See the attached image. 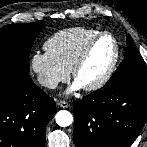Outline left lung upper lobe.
<instances>
[{
  "mask_svg": "<svg viewBox=\"0 0 147 147\" xmlns=\"http://www.w3.org/2000/svg\"><path fill=\"white\" fill-rule=\"evenodd\" d=\"M127 45V52L123 62L119 65L106 85L125 81L147 82L145 62L130 35H127Z\"/></svg>",
  "mask_w": 147,
  "mask_h": 147,
  "instance_id": "left-lung-upper-lobe-1",
  "label": "left lung upper lobe"
}]
</instances>
